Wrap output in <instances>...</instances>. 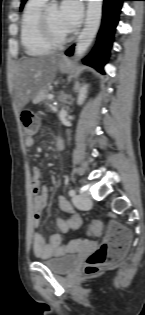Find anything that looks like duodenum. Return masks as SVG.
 I'll return each mask as SVG.
<instances>
[{
  "instance_id": "obj_1",
  "label": "duodenum",
  "mask_w": 145,
  "mask_h": 315,
  "mask_svg": "<svg viewBox=\"0 0 145 315\" xmlns=\"http://www.w3.org/2000/svg\"><path fill=\"white\" fill-rule=\"evenodd\" d=\"M57 148H58L59 150H62V149H63V142H62L61 139H59L58 142H57Z\"/></svg>"
}]
</instances>
